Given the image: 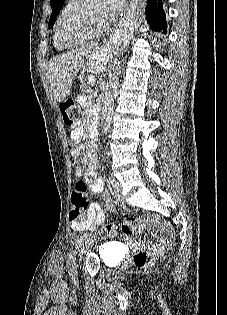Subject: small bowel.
I'll return each instance as SVG.
<instances>
[{
	"instance_id": "small-bowel-1",
	"label": "small bowel",
	"mask_w": 227,
	"mask_h": 315,
	"mask_svg": "<svg viewBox=\"0 0 227 315\" xmlns=\"http://www.w3.org/2000/svg\"><path fill=\"white\" fill-rule=\"evenodd\" d=\"M71 138V156L73 158L75 176L82 178L83 181L88 185L89 192L91 194H98L103 191V180L98 176L97 172V159L91 144H88V161L85 165L81 156L80 143L83 139V129L80 125L72 127L70 132ZM105 199L108 201L109 198L105 195ZM105 219V213L102 207L97 204H91L85 220H72L71 227L75 231H86L91 229L96 224H101ZM164 229L169 234L168 238L159 237L155 242L151 244V250L157 251L158 249L167 246L172 241L173 231L169 224H164Z\"/></svg>"
}]
</instances>
